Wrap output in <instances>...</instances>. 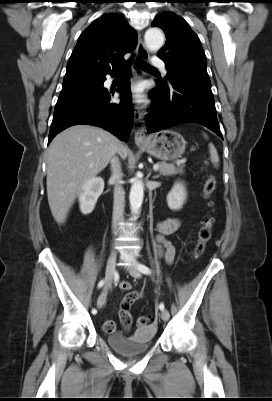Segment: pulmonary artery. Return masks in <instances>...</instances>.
<instances>
[{"instance_id": "1", "label": "pulmonary artery", "mask_w": 272, "mask_h": 401, "mask_svg": "<svg viewBox=\"0 0 272 401\" xmlns=\"http://www.w3.org/2000/svg\"><path fill=\"white\" fill-rule=\"evenodd\" d=\"M151 65H152L153 67H158V68L165 69V63H164V61H163L161 58H159V57H154V58H152V60H151Z\"/></svg>"}]
</instances>
